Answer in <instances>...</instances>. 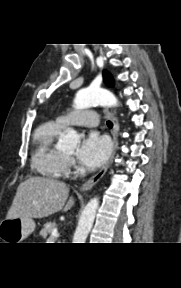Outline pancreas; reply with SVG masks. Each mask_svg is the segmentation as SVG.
I'll return each instance as SVG.
<instances>
[{
    "mask_svg": "<svg viewBox=\"0 0 181 288\" xmlns=\"http://www.w3.org/2000/svg\"><path fill=\"white\" fill-rule=\"evenodd\" d=\"M56 229V223L55 222H48L45 223L43 228L40 231V236L43 239H46V237L52 233V231Z\"/></svg>",
    "mask_w": 181,
    "mask_h": 288,
    "instance_id": "1",
    "label": "pancreas"
}]
</instances>
